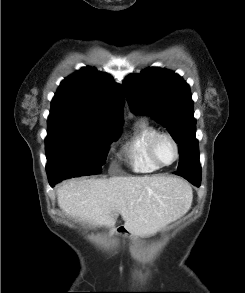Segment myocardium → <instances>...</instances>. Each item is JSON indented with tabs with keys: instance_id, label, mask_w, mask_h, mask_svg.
<instances>
[{
	"instance_id": "obj_1",
	"label": "myocardium",
	"mask_w": 245,
	"mask_h": 293,
	"mask_svg": "<svg viewBox=\"0 0 245 293\" xmlns=\"http://www.w3.org/2000/svg\"><path fill=\"white\" fill-rule=\"evenodd\" d=\"M166 138L168 139L171 144L173 145L174 148V159L170 162V163H162L158 156H157V151H156V147H157V143L160 139ZM149 155L150 158L152 159V161L158 165L159 167H169L172 166L174 163L177 162V160L179 159V155H180V147H179V143L177 142V140L168 132H162V131H158L151 139L150 144H149Z\"/></svg>"
}]
</instances>
